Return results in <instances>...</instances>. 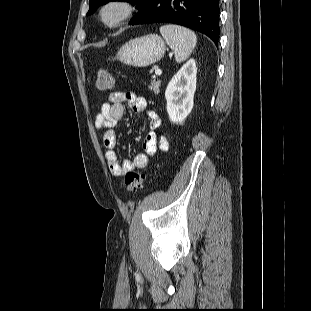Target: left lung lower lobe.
Instances as JSON below:
<instances>
[{"instance_id":"left-lung-lower-lobe-1","label":"left lung lower lobe","mask_w":311,"mask_h":311,"mask_svg":"<svg viewBox=\"0 0 311 311\" xmlns=\"http://www.w3.org/2000/svg\"><path fill=\"white\" fill-rule=\"evenodd\" d=\"M129 24L168 22L219 39V0H145Z\"/></svg>"}]
</instances>
